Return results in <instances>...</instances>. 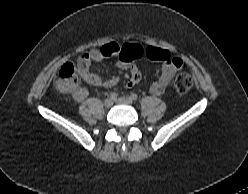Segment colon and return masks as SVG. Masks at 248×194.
I'll list each match as a JSON object with an SVG mask.
<instances>
[{
    "label": "colon",
    "mask_w": 248,
    "mask_h": 194,
    "mask_svg": "<svg viewBox=\"0 0 248 194\" xmlns=\"http://www.w3.org/2000/svg\"><path fill=\"white\" fill-rule=\"evenodd\" d=\"M140 79V74L137 69L134 70L132 82L136 83ZM78 85V72L72 63H65L59 70L55 80V88L59 92H71ZM193 86V78L190 74L182 72L174 79V88L178 93H186Z\"/></svg>",
    "instance_id": "obj_1"
}]
</instances>
